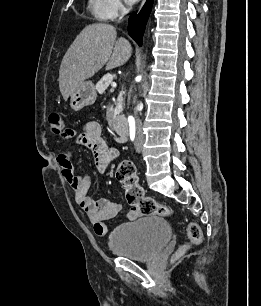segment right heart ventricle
I'll list each match as a JSON object with an SVG mask.
<instances>
[{
	"instance_id": "e07e8e85",
	"label": "right heart ventricle",
	"mask_w": 261,
	"mask_h": 306,
	"mask_svg": "<svg viewBox=\"0 0 261 306\" xmlns=\"http://www.w3.org/2000/svg\"><path fill=\"white\" fill-rule=\"evenodd\" d=\"M89 8L92 13L99 19H106V2L105 0H89Z\"/></svg>"
}]
</instances>
